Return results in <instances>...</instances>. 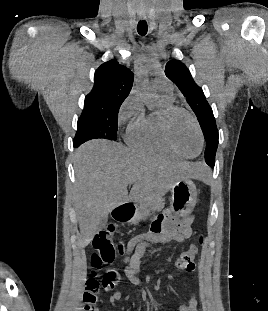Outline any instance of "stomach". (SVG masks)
I'll use <instances>...</instances> for the list:
<instances>
[{
  "label": "stomach",
  "instance_id": "0dacf381",
  "mask_svg": "<svg viewBox=\"0 0 268 311\" xmlns=\"http://www.w3.org/2000/svg\"><path fill=\"white\" fill-rule=\"evenodd\" d=\"M171 193V208L176 216H188L193 211L197 199L196 186L193 181L189 178L177 181L171 188Z\"/></svg>",
  "mask_w": 268,
  "mask_h": 311
}]
</instances>
